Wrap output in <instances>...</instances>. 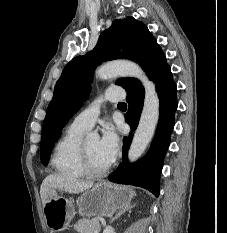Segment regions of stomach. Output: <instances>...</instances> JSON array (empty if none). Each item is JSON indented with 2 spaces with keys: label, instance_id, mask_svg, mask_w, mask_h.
<instances>
[{
  "label": "stomach",
  "instance_id": "obj_1",
  "mask_svg": "<svg viewBox=\"0 0 227 233\" xmlns=\"http://www.w3.org/2000/svg\"><path fill=\"white\" fill-rule=\"evenodd\" d=\"M134 194L129 187L101 182L83 192L75 204L55 191L43 206L46 226L53 231L65 230L76 213V206L82 216H110L128 207Z\"/></svg>",
  "mask_w": 227,
  "mask_h": 233
}]
</instances>
